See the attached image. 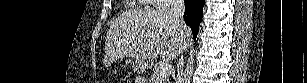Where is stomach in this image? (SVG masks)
Masks as SVG:
<instances>
[{
	"mask_svg": "<svg viewBox=\"0 0 307 83\" xmlns=\"http://www.w3.org/2000/svg\"><path fill=\"white\" fill-rule=\"evenodd\" d=\"M133 68L136 71L143 70L144 69V64L138 63V62L135 61V63L133 64Z\"/></svg>",
	"mask_w": 307,
	"mask_h": 83,
	"instance_id": "1",
	"label": "stomach"
}]
</instances>
